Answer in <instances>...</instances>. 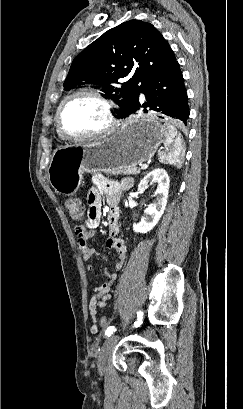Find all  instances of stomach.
<instances>
[{"instance_id": "stomach-1", "label": "stomach", "mask_w": 243, "mask_h": 409, "mask_svg": "<svg viewBox=\"0 0 243 409\" xmlns=\"http://www.w3.org/2000/svg\"><path fill=\"white\" fill-rule=\"evenodd\" d=\"M163 138V126L155 117H130L104 139L57 148L48 167L49 182L56 193H74L84 173L136 167L154 156Z\"/></svg>"}]
</instances>
